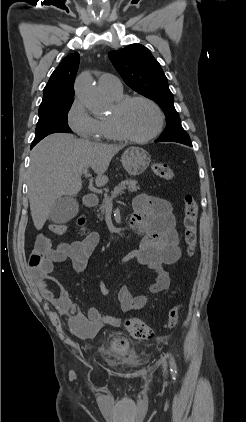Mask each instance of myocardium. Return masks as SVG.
Returning <instances> with one entry per match:
<instances>
[{"instance_id": "f54148a6", "label": "myocardium", "mask_w": 246, "mask_h": 422, "mask_svg": "<svg viewBox=\"0 0 246 422\" xmlns=\"http://www.w3.org/2000/svg\"><path fill=\"white\" fill-rule=\"evenodd\" d=\"M135 101H143L149 105H151L157 115H158V124L155 130L147 136L144 137H137L132 135L123 125L121 120V113L125 110V108ZM115 114L114 116L110 117V121L118 134L122 137V139L133 142V143H145L154 138H156L163 130L164 123H165V116L161 109V107L152 99L142 96V95H131V96H124L121 99L115 101L114 105Z\"/></svg>"}]
</instances>
